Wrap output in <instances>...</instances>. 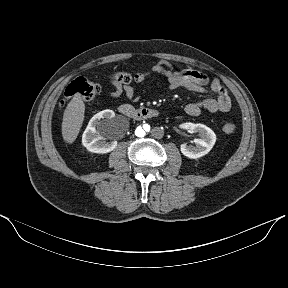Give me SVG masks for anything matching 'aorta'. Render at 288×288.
<instances>
[{
  "mask_svg": "<svg viewBox=\"0 0 288 288\" xmlns=\"http://www.w3.org/2000/svg\"><path fill=\"white\" fill-rule=\"evenodd\" d=\"M148 133H149V128L145 124H140L136 126L134 129V134L138 138H144L148 135Z\"/></svg>",
  "mask_w": 288,
  "mask_h": 288,
  "instance_id": "1",
  "label": "aorta"
}]
</instances>
